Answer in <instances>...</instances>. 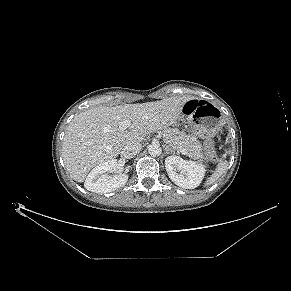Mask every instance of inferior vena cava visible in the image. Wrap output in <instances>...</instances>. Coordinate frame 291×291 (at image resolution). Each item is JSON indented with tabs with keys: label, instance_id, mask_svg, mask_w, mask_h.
<instances>
[{
	"label": "inferior vena cava",
	"instance_id": "602c4592",
	"mask_svg": "<svg viewBox=\"0 0 291 291\" xmlns=\"http://www.w3.org/2000/svg\"><path fill=\"white\" fill-rule=\"evenodd\" d=\"M140 143H129L126 144L121 150V156L125 159H131L141 151Z\"/></svg>",
	"mask_w": 291,
	"mask_h": 291
}]
</instances>
